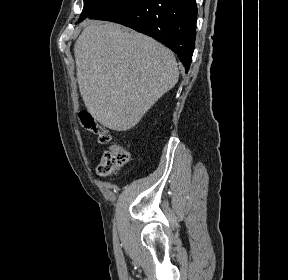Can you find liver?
Segmentation results:
<instances>
[{"label":"liver","mask_w":288,"mask_h":280,"mask_svg":"<svg viewBox=\"0 0 288 280\" xmlns=\"http://www.w3.org/2000/svg\"><path fill=\"white\" fill-rule=\"evenodd\" d=\"M79 91L104 127L125 131L178 81L174 54L115 23H91L74 45Z\"/></svg>","instance_id":"obj_1"}]
</instances>
